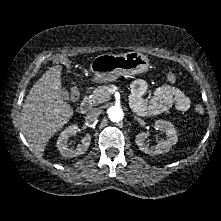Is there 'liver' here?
<instances>
[{"instance_id": "obj_1", "label": "liver", "mask_w": 221, "mask_h": 221, "mask_svg": "<svg viewBox=\"0 0 221 221\" xmlns=\"http://www.w3.org/2000/svg\"><path fill=\"white\" fill-rule=\"evenodd\" d=\"M62 66L49 68L32 86L22 107L21 127L31 150L42 156L49 139L69 122L72 107L60 96Z\"/></svg>"}]
</instances>
